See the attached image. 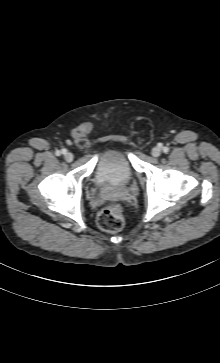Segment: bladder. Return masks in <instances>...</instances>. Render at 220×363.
<instances>
[{
    "label": "bladder",
    "mask_w": 220,
    "mask_h": 363,
    "mask_svg": "<svg viewBox=\"0 0 220 363\" xmlns=\"http://www.w3.org/2000/svg\"><path fill=\"white\" fill-rule=\"evenodd\" d=\"M135 169L122 147L111 144L100 154L94 173V183L99 187H122L134 178Z\"/></svg>",
    "instance_id": "bladder-1"
}]
</instances>
